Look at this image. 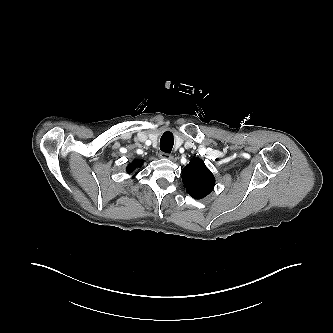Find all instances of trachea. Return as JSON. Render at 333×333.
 Wrapping results in <instances>:
<instances>
[{
    "mask_svg": "<svg viewBox=\"0 0 333 333\" xmlns=\"http://www.w3.org/2000/svg\"><path fill=\"white\" fill-rule=\"evenodd\" d=\"M174 145V138L170 132H165L160 139V149L165 153H170Z\"/></svg>",
    "mask_w": 333,
    "mask_h": 333,
    "instance_id": "obj_1",
    "label": "trachea"
}]
</instances>
